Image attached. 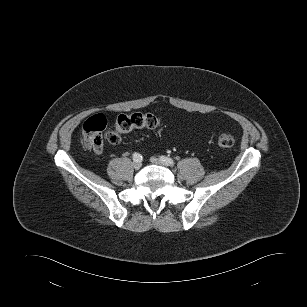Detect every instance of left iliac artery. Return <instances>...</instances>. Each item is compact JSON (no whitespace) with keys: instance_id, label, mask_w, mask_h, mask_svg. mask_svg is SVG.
I'll use <instances>...</instances> for the list:
<instances>
[{"instance_id":"44dca946","label":"left iliac artery","mask_w":307,"mask_h":307,"mask_svg":"<svg viewBox=\"0 0 307 307\" xmlns=\"http://www.w3.org/2000/svg\"><path fill=\"white\" fill-rule=\"evenodd\" d=\"M160 161L167 166H173L175 164L173 159L166 157V156H161Z\"/></svg>"}]
</instances>
